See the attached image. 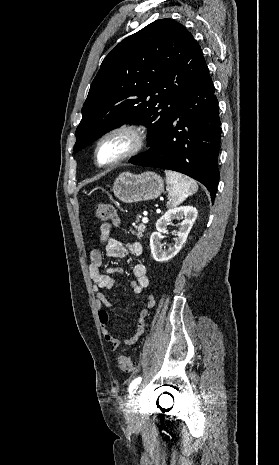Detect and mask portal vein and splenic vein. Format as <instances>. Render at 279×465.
<instances>
[{"instance_id": "1", "label": "portal vein and splenic vein", "mask_w": 279, "mask_h": 465, "mask_svg": "<svg viewBox=\"0 0 279 465\" xmlns=\"http://www.w3.org/2000/svg\"><path fill=\"white\" fill-rule=\"evenodd\" d=\"M142 222H143V223H148V218H147V217H143V218H142Z\"/></svg>"}]
</instances>
